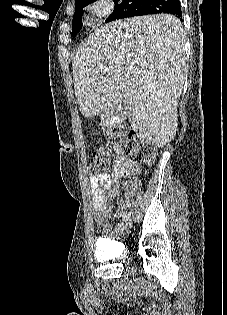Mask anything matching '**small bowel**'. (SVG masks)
<instances>
[{
	"label": "small bowel",
	"mask_w": 227,
	"mask_h": 315,
	"mask_svg": "<svg viewBox=\"0 0 227 315\" xmlns=\"http://www.w3.org/2000/svg\"><path fill=\"white\" fill-rule=\"evenodd\" d=\"M141 168L123 151L117 150L113 159L111 174L101 173L89 177V187L92 194V208L98 222L110 216L108 197L119 194V183L124 176L134 177L140 174ZM108 192V193H107ZM118 213H124V201L118 205Z\"/></svg>",
	"instance_id": "c3829d8e"
}]
</instances>
